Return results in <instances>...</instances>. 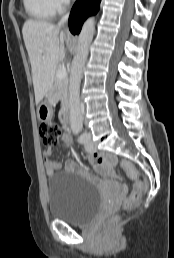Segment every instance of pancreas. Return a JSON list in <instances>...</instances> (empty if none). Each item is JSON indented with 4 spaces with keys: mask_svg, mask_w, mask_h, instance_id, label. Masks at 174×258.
<instances>
[{
    "mask_svg": "<svg viewBox=\"0 0 174 258\" xmlns=\"http://www.w3.org/2000/svg\"><path fill=\"white\" fill-rule=\"evenodd\" d=\"M51 92V102L55 104L60 100L62 105H64L67 101V81L65 79L58 78L56 75L54 78V84L51 88Z\"/></svg>",
    "mask_w": 174,
    "mask_h": 258,
    "instance_id": "obj_1",
    "label": "pancreas"
}]
</instances>
